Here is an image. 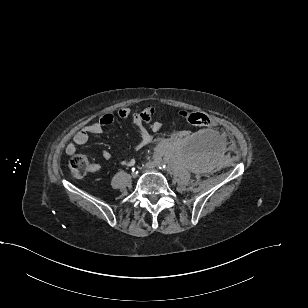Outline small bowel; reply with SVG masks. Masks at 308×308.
I'll return each instance as SVG.
<instances>
[{
	"mask_svg": "<svg viewBox=\"0 0 308 308\" xmlns=\"http://www.w3.org/2000/svg\"><path fill=\"white\" fill-rule=\"evenodd\" d=\"M154 114L155 109L152 106H148L142 111H134L131 108H121L118 111V117L121 119L130 120L140 135V139L136 144L137 150H141L151 144L153 141L152 131L159 132L163 128L161 122L153 120ZM114 121L115 117L112 114L102 115L98 121L87 125L74 135L73 141L66 147V152L69 155L74 154L76 147L86 144L90 135L101 133L104 127L111 125ZM102 156L107 160L110 159L111 154L108 151H103ZM121 163L125 166H133L135 164V160L123 159Z\"/></svg>",
	"mask_w": 308,
	"mask_h": 308,
	"instance_id": "1",
	"label": "small bowel"
}]
</instances>
